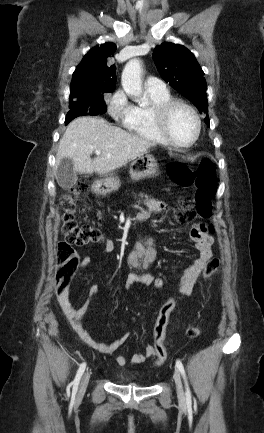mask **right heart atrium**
<instances>
[{
    "mask_svg": "<svg viewBox=\"0 0 264 433\" xmlns=\"http://www.w3.org/2000/svg\"><path fill=\"white\" fill-rule=\"evenodd\" d=\"M106 102L109 115L117 122L125 124L132 117L134 105L123 90L115 91Z\"/></svg>",
    "mask_w": 264,
    "mask_h": 433,
    "instance_id": "d8ad5b80",
    "label": "right heart atrium"
}]
</instances>
